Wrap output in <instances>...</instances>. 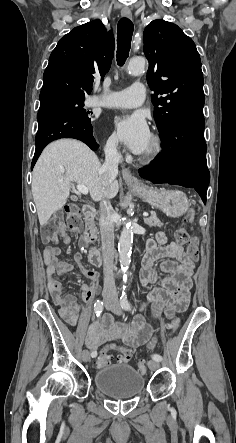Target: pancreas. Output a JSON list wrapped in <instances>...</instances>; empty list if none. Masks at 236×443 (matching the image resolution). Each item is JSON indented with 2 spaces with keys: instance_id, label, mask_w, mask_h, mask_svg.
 <instances>
[{
  "instance_id": "pancreas-1",
  "label": "pancreas",
  "mask_w": 236,
  "mask_h": 443,
  "mask_svg": "<svg viewBox=\"0 0 236 443\" xmlns=\"http://www.w3.org/2000/svg\"><path fill=\"white\" fill-rule=\"evenodd\" d=\"M144 221L149 227L163 226V223L157 218L155 213H152V215L149 218H145Z\"/></svg>"
}]
</instances>
